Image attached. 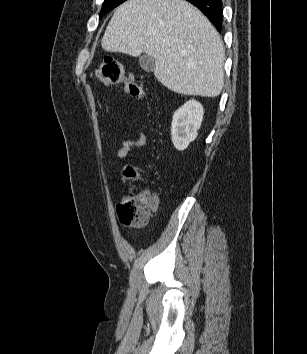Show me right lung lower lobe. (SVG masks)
<instances>
[{"label": "right lung lower lobe", "mask_w": 307, "mask_h": 354, "mask_svg": "<svg viewBox=\"0 0 307 354\" xmlns=\"http://www.w3.org/2000/svg\"><path fill=\"white\" fill-rule=\"evenodd\" d=\"M199 8L221 32L223 22V7L221 0H186Z\"/></svg>", "instance_id": "98d812e1"}]
</instances>
